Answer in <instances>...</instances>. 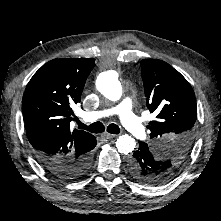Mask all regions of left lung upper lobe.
Here are the masks:
<instances>
[{
  "instance_id": "5c2ea615",
  "label": "left lung upper lobe",
  "mask_w": 221,
  "mask_h": 221,
  "mask_svg": "<svg viewBox=\"0 0 221 221\" xmlns=\"http://www.w3.org/2000/svg\"><path fill=\"white\" fill-rule=\"evenodd\" d=\"M146 104L157 114L147 126L158 147L161 165L156 181H169L187 158L195 137L196 98L187 80L172 66L157 59L141 61Z\"/></svg>"
}]
</instances>
